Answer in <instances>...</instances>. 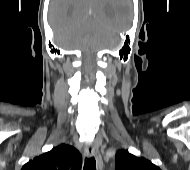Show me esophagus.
Returning <instances> with one entry per match:
<instances>
[{
    "label": "esophagus",
    "mask_w": 190,
    "mask_h": 170,
    "mask_svg": "<svg viewBox=\"0 0 190 170\" xmlns=\"http://www.w3.org/2000/svg\"><path fill=\"white\" fill-rule=\"evenodd\" d=\"M85 153L87 154V156L89 157H95L96 158V162H97V166L99 170H102L103 168V160L102 157L96 147V145L94 143H88L85 146Z\"/></svg>",
    "instance_id": "34e87169"
}]
</instances>
